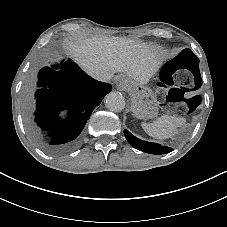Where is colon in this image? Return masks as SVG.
<instances>
[{
  "instance_id": "colon-1",
  "label": "colon",
  "mask_w": 227,
  "mask_h": 227,
  "mask_svg": "<svg viewBox=\"0 0 227 227\" xmlns=\"http://www.w3.org/2000/svg\"><path fill=\"white\" fill-rule=\"evenodd\" d=\"M198 58L184 50L163 64L159 72L158 95L168 111L191 112L200 98L191 95L200 86Z\"/></svg>"
}]
</instances>
